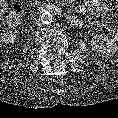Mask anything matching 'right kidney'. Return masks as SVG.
Returning <instances> with one entry per match:
<instances>
[{
  "instance_id": "right-kidney-1",
  "label": "right kidney",
  "mask_w": 118,
  "mask_h": 118,
  "mask_svg": "<svg viewBox=\"0 0 118 118\" xmlns=\"http://www.w3.org/2000/svg\"><path fill=\"white\" fill-rule=\"evenodd\" d=\"M16 39V34H14L12 31H5L0 34V42L7 44L10 42H13Z\"/></svg>"
}]
</instances>
